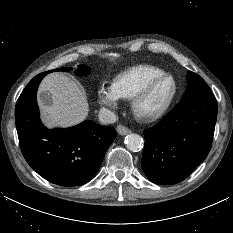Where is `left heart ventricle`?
I'll return each mask as SVG.
<instances>
[{
	"label": "left heart ventricle",
	"mask_w": 233,
	"mask_h": 233,
	"mask_svg": "<svg viewBox=\"0 0 233 233\" xmlns=\"http://www.w3.org/2000/svg\"><path fill=\"white\" fill-rule=\"evenodd\" d=\"M172 85L169 80L161 82L144 101L142 107L146 111H152L162 105L171 91Z\"/></svg>",
	"instance_id": "b2bd125f"
}]
</instances>
